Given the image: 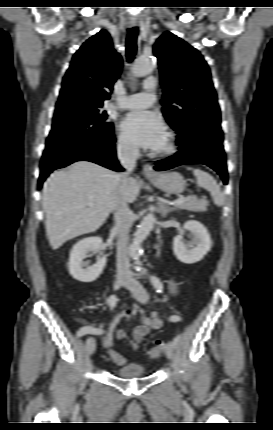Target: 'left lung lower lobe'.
<instances>
[{"label": "left lung lower lobe", "mask_w": 273, "mask_h": 430, "mask_svg": "<svg viewBox=\"0 0 273 430\" xmlns=\"http://www.w3.org/2000/svg\"><path fill=\"white\" fill-rule=\"evenodd\" d=\"M223 133L218 120L200 119L195 126L178 134L179 151L158 161L157 171L168 170L183 164H205L213 168L227 184V166L222 146Z\"/></svg>", "instance_id": "left-lung-lower-lobe-1"}]
</instances>
